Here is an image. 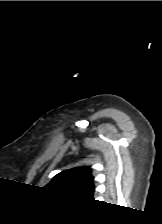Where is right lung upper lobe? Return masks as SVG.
I'll return each mask as SVG.
<instances>
[{"mask_svg": "<svg viewBox=\"0 0 162 224\" xmlns=\"http://www.w3.org/2000/svg\"><path fill=\"white\" fill-rule=\"evenodd\" d=\"M58 192L92 200L94 185L89 167H77L57 174L46 186Z\"/></svg>", "mask_w": 162, "mask_h": 224, "instance_id": "1", "label": "right lung upper lobe"}]
</instances>
